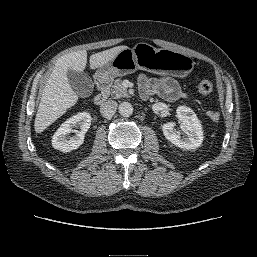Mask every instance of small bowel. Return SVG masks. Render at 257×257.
I'll use <instances>...</instances> for the list:
<instances>
[{
    "label": "small bowel",
    "mask_w": 257,
    "mask_h": 257,
    "mask_svg": "<svg viewBox=\"0 0 257 257\" xmlns=\"http://www.w3.org/2000/svg\"><path fill=\"white\" fill-rule=\"evenodd\" d=\"M139 86L141 95L145 98L158 95L167 101H175L187 96L179 83L171 77L152 78L143 74L139 77Z\"/></svg>",
    "instance_id": "small-bowel-1"
}]
</instances>
